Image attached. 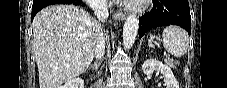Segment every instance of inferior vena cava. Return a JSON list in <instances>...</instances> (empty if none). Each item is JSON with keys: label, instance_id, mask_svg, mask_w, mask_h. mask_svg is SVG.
Returning <instances> with one entry per match:
<instances>
[{"label": "inferior vena cava", "instance_id": "inferior-vena-cava-1", "mask_svg": "<svg viewBox=\"0 0 227 88\" xmlns=\"http://www.w3.org/2000/svg\"><path fill=\"white\" fill-rule=\"evenodd\" d=\"M91 8L93 9L94 14L96 15L99 21L104 22L109 17L106 0H99L93 2L91 4ZM104 52L105 39L103 37V32H101L98 36L97 44L94 51L96 60H101L104 55Z\"/></svg>", "mask_w": 227, "mask_h": 88}]
</instances>
